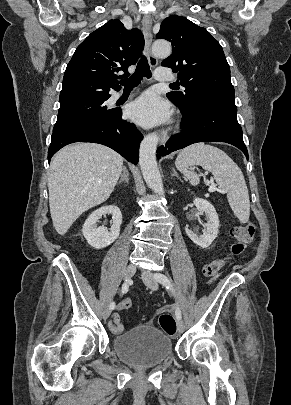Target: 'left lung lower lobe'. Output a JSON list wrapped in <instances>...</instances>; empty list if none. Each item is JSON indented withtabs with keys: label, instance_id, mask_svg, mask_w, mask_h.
I'll return each instance as SVG.
<instances>
[{
	"label": "left lung lower lobe",
	"instance_id": "left-lung-lower-lobe-1",
	"mask_svg": "<svg viewBox=\"0 0 291 405\" xmlns=\"http://www.w3.org/2000/svg\"><path fill=\"white\" fill-rule=\"evenodd\" d=\"M181 109L182 133L174 135L157 150V157L165 156L197 142H226L239 148L248 159L242 129L237 121L235 94L210 92L191 97Z\"/></svg>",
	"mask_w": 291,
	"mask_h": 405
}]
</instances>
